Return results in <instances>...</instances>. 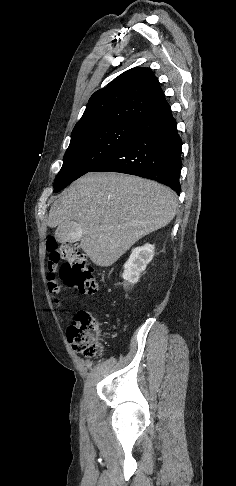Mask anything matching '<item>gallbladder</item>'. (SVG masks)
<instances>
[{
  "label": "gallbladder",
  "mask_w": 236,
  "mask_h": 486,
  "mask_svg": "<svg viewBox=\"0 0 236 486\" xmlns=\"http://www.w3.org/2000/svg\"><path fill=\"white\" fill-rule=\"evenodd\" d=\"M80 233V227L78 223L71 221L58 226L55 231V238L60 243H72L78 241V235Z\"/></svg>",
  "instance_id": "1"
}]
</instances>
